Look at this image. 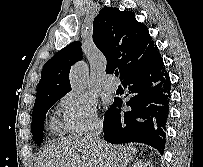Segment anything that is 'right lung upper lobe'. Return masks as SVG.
<instances>
[{
	"instance_id": "cb5924a9",
	"label": "right lung upper lobe",
	"mask_w": 203,
	"mask_h": 167,
	"mask_svg": "<svg viewBox=\"0 0 203 167\" xmlns=\"http://www.w3.org/2000/svg\"><path fill=\"white\" fill-rule=\"evenodd\" d=\"M93 41L107 59L106 72L118 68L121 81L128 74L161 59L148 28L136 21L131 11L113 7L101 9L93 22ZM81 59V43L73 42L47 61L41 72L34 106L71 91L69 71Z\"/></svg>"
}]
</instances>
